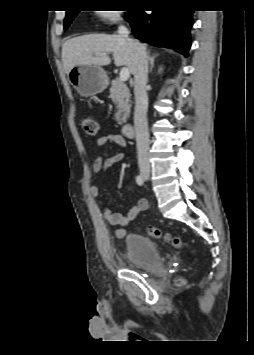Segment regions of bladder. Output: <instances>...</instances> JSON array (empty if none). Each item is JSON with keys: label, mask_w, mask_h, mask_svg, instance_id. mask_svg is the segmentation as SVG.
<instances>
[{"label": "bladder", "mask_w": 254, "mask_h": 355, "mask_svg": "<svg viewBox=\"0 0 254 355\" xmlns=\"http://www.w3.org/2000/svg\"><path fill=\"white\" fill-rule=\"evenodd\" d=\"M126 259L141 270L158 271L163 267V256L159 245L151 238L130 233L126 237Z\"/></svg>", "instance_id": "obj_1"}]
</instances>
